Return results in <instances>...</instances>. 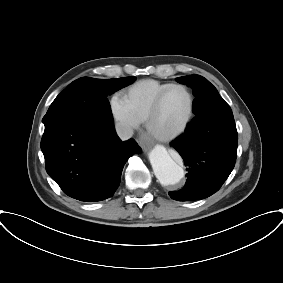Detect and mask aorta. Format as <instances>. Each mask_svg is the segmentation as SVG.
<instances>
[{
  "instance_id": "obj_1",
  "label": "aorta",
  "mask_w": 283,
  "mask_h": 283,
  "mask_svg": "<svg viewBox=\"0 0 283 283\" xmlns=\"http://www.w3.org/2000/svg\"><path fill=\"white\" fill-rule=\"evenodd\" d=\"M149 160L156 178L164 186L177 184L184 177L183 168L163 146H156L149 153Z\"/></svg>"
}]
</instances>
